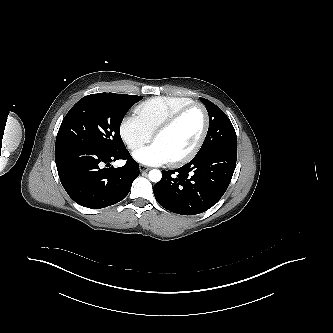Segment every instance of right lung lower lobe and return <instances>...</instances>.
I'll return each mask as SVG.
<instances>
[{
    "label": "right lung lower lobe",
    "instance_id": "98d812e1",
    "mask_svg": "<svg viewBox=\"0 0 333 333\" xmlns=\"http://www.w3.org/2000/svg\"><path fill=\"white\" fill-rule=\"evenodd\" d=\"M119 159L127 160L123 167H110L111 162ZM55 161L68 195L79 205L92 209L123 200L139 176V164L126 148L108 153L77 144L58 143L55 144Z\"/></svg>",
    "mask_w": 333,
    "mask_h": 333
}]
</instances>
